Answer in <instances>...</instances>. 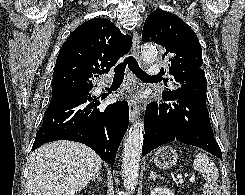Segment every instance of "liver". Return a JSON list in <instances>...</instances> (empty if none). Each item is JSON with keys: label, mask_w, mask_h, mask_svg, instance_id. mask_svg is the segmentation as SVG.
Segmentation results:
<instances>
[{"label": "liver", "mask_w": 245, "mask_h": 195, "mask_svg": "<svg viewBox=\"0 0 245 195\" xmlns=\"http://www.w3.org/2000/svg\"><path fill=\"white\" fill-rule=\"evenodd\" d=\"M102 160L72 141L44 144L31 154L29 195H76L100 171Z\"/></svg>", "instance_id": "6515ba94"}]
</instances>
